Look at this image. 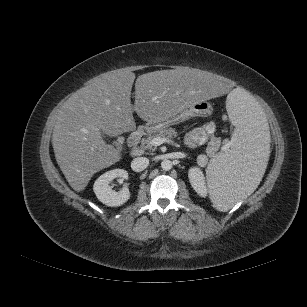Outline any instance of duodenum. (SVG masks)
Returning <instances> with one entry per match:
<instances>
[{"instance_id": "1", "label": "duodenum", "mask_w": 307, "mask_h": 307, "mask_svg": "<svg viewBox=\"0 0 307 307\" xmlns=\"http://www.w3.org/2000/svg\"><path fill=\"white\" fill-rule=\"evenodd\" d=\"M143 135H144V129L138 128L134 130L128 138V146L131 148L136 147L139 144L140 140L142 139Z\"/></svg>"}]
</instances>
